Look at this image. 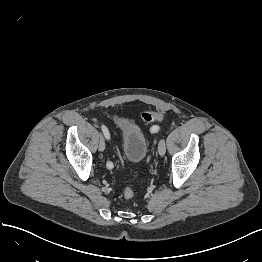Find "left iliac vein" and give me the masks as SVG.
I'll return each mask as SVG.
<instances>
[{
    "label": "left iliac vein",
    "mask_w": 262,
    "mask_h": 262,
    "mask_svg": "<svg viewBox=\"0 0 262 262\" xmlns=\"http://www.w3.org/2000/svg\"><path fill=\"white\" fill-rule=\"evenodd\" d=\"M158 153L160 156H164L166 153V144H165V140L161 139L158 145Z\"/></svg>",
    "instance_id": "4c4485c4"
}]
</instances>
